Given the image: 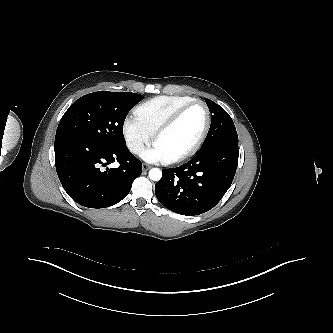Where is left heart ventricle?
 I'll list each match as a JSON object with an SVG mask.
<instances>
[{"mask_svg": "<svg viewBox=\"0 0 333 333\" xmlns=\"http://www.w3.org/2000/svg\"><path fill=\"white\" fill-rule=\"evenodd\" d=\"M206 121L205 109L196 104L189 108L180 119L156 142L166 159L190 149L199 138Z\"/></svg>", "mask_w": 333, "mask_h": 333, "instance_id": "left-heart-ventricle-1", "label": "left heart ventricle"}]
</instances>
